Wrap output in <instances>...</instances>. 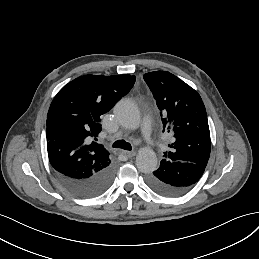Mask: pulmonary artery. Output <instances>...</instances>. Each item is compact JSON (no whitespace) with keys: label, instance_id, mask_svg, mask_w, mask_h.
<instances>
[{"label":"pulmonary artery","instance_id":"obj_1","mask_svg":"<svg viewBox=\"0 0 259 259\" xmlns=\"http://www.w3.org/2000/svg\"><path fill=\"white\" fill-rule=\"evenodd\" d=\"M139 126H142L143 134L144 136L147 137L151 132V126H152L151 118L148 116H144L142 118L131 120L126 124V127L132 128V129L138 128Z\"/></svg>","mask_w":259,"mask_h":259}]
</instances>
